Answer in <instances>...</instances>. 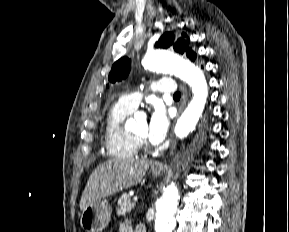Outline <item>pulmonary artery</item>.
<instances>
[{"mask_svg": "<svg viewBox=\"0 0 289 232\" xmlns=\"http://www.w3.org/2000/svg\"><path fill=\"white\" fill-rule=\"evenodd\" d=\"M151 89L154 92L172 94L176 92V84L171 78H162L154 81L151 85ZM142 98V94L134 92L126 94L120 98V101L131 110H135Z\"/></svg>", "mask_w": 289, "mask_h": 232, "instance_id": "e3ab8cb5", "label": "pulmonary artery"}]
</instances>
